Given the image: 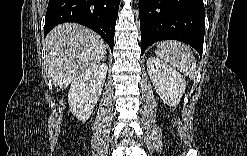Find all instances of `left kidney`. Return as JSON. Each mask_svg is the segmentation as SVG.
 I'll return each instance as SVG.
<instances>
[{
    "mask_svg": "<svg viewBox=\"0 0 247 156\" xmlns=\"http://www.w3.org/2000/svg\"><path fill=\"white\" fill-rule=\"evenodd\" d=\"M147 70L151 82L163 102L176 107L186 89L184 77L176 69L156 57L148 58Z\"/></svg>",
    "mask_w": 247,
    "mask_h": 156,
    "instance_id": "obj_1",
    "label": "left kidney"
}]
</instances>
